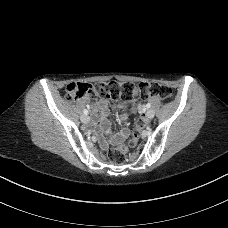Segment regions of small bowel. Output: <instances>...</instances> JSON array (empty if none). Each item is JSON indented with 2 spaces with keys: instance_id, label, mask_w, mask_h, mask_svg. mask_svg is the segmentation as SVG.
Returning a JSON list of instances; mask_svg holds the SVG:
<instances>
[{
  "instance_id": "obj_1",
  "label": "small bowel",
  "mask_w": 228,
  "mask_h": 228,
  "mask_svg": "<svg viewBox=\"0 0 228 228\" xmlns=\"http://www.w3.org/2000/svg\"><path fill=\"white\" fill-rule=\"evenodd\" d=\"M136 102H133L134 106ZM120 110L124 111L126 107L124 105L117 106ZM98 109L100 113V129L96 127L95 124L92 125V131L97 135L100 140L101 146L107 148L110 142H118L125 139L128 135L127 129H120L115 135H111L110 122L108 119L110 113V102L107 99H103L98 102ZM140 111H143V106L139 105ZM120 121H123V117L120 118Z\"/></svg>"
}]
</instances>
